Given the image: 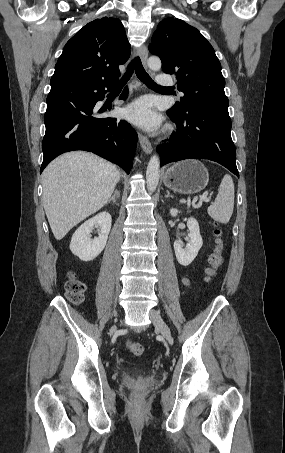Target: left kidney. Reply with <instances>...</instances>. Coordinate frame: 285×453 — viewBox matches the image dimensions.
<instances>
[{
  "label": "left kidney",
  "mask_w": 285,
  "mask_h": 453,
  "mask_svg": "<svg viewBox=\"0 0 285 453\" xmlns=\"http://www.w3.org/2000/svg\"><path fill=\"white\" fill-rule=\"evenodd\" d=\"M170 214L176 217L178 214L177 209H171ZM187 227L189 229L188 238L189 242L183 247V243L180 240L174 242V251L179 264L188 266L197 256L200 248L203 245V240L200 235V228L195 218H189L187 221Z\"/></svg>",
  "instance_id": "5707ae66"
}]
</instances>
